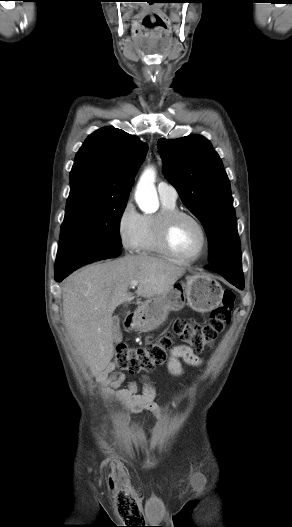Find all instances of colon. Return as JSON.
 <instances>
[{"instance_id": "5ec220e1", "label": "colon", "mask_w": 292, "mask_h": 527, "mask_svg": "<svg viewBox=\"0 0 292 527\" xmlns=\"http://www.w3.org/2000/svg\"><path fill=\"white\" fill-rule=\"evenodd\" d=\"M234 304L235 294L231 290H224L221 302L211 312L207 323L178 319L174 322L171 331L156 342L136 348L119 346L115 354V365L131 374L150 372L166 360L167 351L172 347L175 337L194 352H202L212 347L217 336L229 325ZM117 503L124 507L125 504L133 502L130 498L119 496ZM134 505L135 510L139 512V507Z\"/></svg>"}]
</instances>
